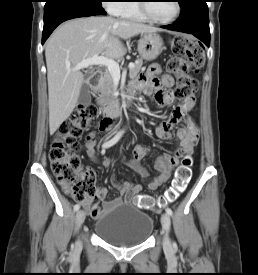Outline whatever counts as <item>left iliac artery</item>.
<instances>
[{
	"instance_id": "1",
	"label": "left iliac artery",
	"mask_w": 258,
	"mask_h": 275,
	"mask_svg": "<svg viewBox=\"0 0 258 275\" xmlns=\"http://www.w3.org/2000/svg\"><path fill=\"white\" fill-rule=\"evenodd\" d=\"M165 210H166V213H167L169 216H172V215H173V212H172V210H171L169 207H167Z\"/></svg>"
}]
</instances>
